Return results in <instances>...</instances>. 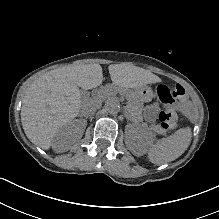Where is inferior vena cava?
<instances>
[{"label":"inferior vena cava","mask_w":219,"mask_h":219,"mask_svg":"<svg viewBox=\"0 0 219 219\" xmlns=\"http://www.w3.org/2000/svg\"><path fill=\"white\" fill-rule=\"evenodd\" d=\"M80 110L83 115L90 116L95 113L96 107L93 102L86 101L81 104Z\"/></svg>","instance_id":"1"}]
</instances>
